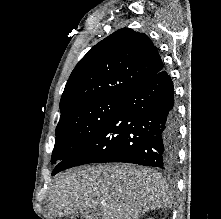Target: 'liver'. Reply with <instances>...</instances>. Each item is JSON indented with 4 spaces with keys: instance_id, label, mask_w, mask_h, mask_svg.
I'll return each mask as SVG.
<instances>
[{
    "instance_id": "obj_1",
    "label": "liver",
    "mask_w": 221,
    "mask_h": 219,
    "mask_svg": "<svg viewBox=\"0 0 221 219\" xmlns=\"http://www.w3.org/2000/svg\"><path fill=\"white\" fill-rule=\"evenodd\" d=\"M51 212L65 217L99 208L103 219H139L167 209L173 198L162 175L130 164L97 165L60 173L50 195Z\"/></svg>"
}]
</instances>
